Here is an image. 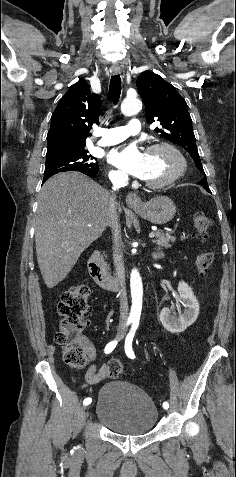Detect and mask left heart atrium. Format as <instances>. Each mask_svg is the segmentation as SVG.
I'll return each mask as SVG.
<instances>
[{
    "label": "left heart atrium",
    "mask_w": 236,
    "mask_h": 477,
    "mask_svg": "<svg viewBox=\"0 0 236 477\" xmlns=\"http://www.w3.org/2000/svg\"><path fill=\"white\" fill-rule=\"evenodd\" d=\"M109 159L114 165L132 176L143 178L145 175L146 153L142 152L136 144L113 150Z\"/></svg>",
    "instance_id": "left-heart-atrium-1"
}]
</instances>
